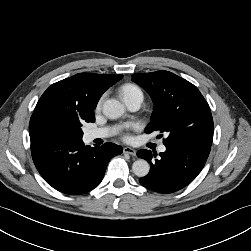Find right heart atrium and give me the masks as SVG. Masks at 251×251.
<instances>
[{"instance_id":"right-heart-atrium-1","label":"right heart atrium","mask_w":251,"mask_h":251,"mask_svg":"<svg viewBox=\"0 0 251 251\" xmlns=\"http://www.w3.org/2000/svg\"><path fill=\"white\" fill-rule=\"evenodd\" d=\"M102 100H103V97H101L98 102H97V105H96V108L99 109L101 104H102Z\"/></svg>"}]
</instances>
